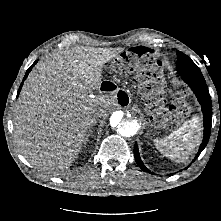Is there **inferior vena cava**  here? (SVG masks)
Listing matches in <instances>:
<instances>
[{
  "label": "inferior vena cava",
  "mask_w": 221,
  "mask_h": 221,
  "mask_svg": "<svg viewBox=\"0 0 221 221\" xmlns=\"http://www.w3.org/2000/svg\"><path fill=\"white\" fill-rule=\"evenodd\" d=\"M92 119L93 120H96V121H98V120H101L102 119V116H103V114H102V111L101 110H94L93 112H92Z\"/></svg>",
  "instance_id": "inferior-vena-cava-1"
}]
</instances>
